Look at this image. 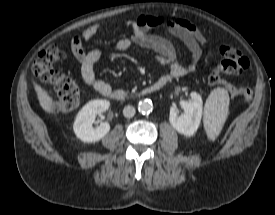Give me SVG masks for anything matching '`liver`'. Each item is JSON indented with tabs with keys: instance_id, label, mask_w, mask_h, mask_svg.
Segmentation results:
<instances>
[{
	"instance_id": "liver-1",
	"label": "liver",
	"mask_w": 275,
	"mask_h": 215,
	"mask_svg": "<svg viewBox=\"0 0 275 215\" xmlns=\"http://www.w3.org/2000/svg\"><path fill=\"white\" fill-rule=\"evenodd\" d=\"M33 85H34V89L37 94V98L39 100L40 106L45 112L52 114L54 112L53 98L44 88H42L37 83L33 82Z\"/></svg>"
}]
</instances>
